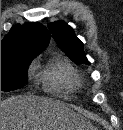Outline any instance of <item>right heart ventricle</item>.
Here are the masks:
<instances>
[{"mask_svg": "<svg viewBox=\"0 0 123 130\" xmlns=\"http://www.w3.org/2000/svg\"><path fill=\"white\" fill-rule=\"evenodd\" d=\"M40 78L48 91L71 95L81 86L78 71L66 60L52 59L42 68Z\"/></svg>", "mask_w": 123, "mask_h": 130, "instance_id": "obj_1", "label": "right heart ventricle"}]
</instances>
